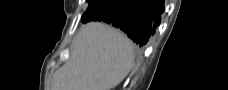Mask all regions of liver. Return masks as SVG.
<instances>
[{
    "instance_id": "1",
    "label": "liver",
    "mask_w": 228,
    "mask_h": 90,
    "mask_svg": "<svg viewBox=\"0 0 228 90\" xmlns=\"http://www.w3.org/2000/svg\"><path fill=\"white\" fill-rule=\"evenodd\" d=\"M133 45L120 31L93 22L73 39L69 60L52 79L51 90H110L130 72Z\"/></svg>"
}]
</instances>
